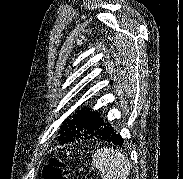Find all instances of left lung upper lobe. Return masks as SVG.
<instances>
[{
  "mask_svg": "<svg viewBox=\"0 0 183 179\" xmlns=\"http://www.w3.org/2000/svg\"><path fill=\"white\" fill-rule=\"evenodd\" d=\"M71 117V116H69ZM68 123L66 125L65 123ZM106 122L100 118L97 112H91L89 108L81 109L73 119L67 118L61 126L59 136L60 143H71L80 137H87L101 128Z\"/></svg>",
  "mask_w": 183,
  "mask_h": 179,
  "instance_id": "left-lung-upper-lobe-1",
  "label": "left lung upper lobe"
}]
</instances>
